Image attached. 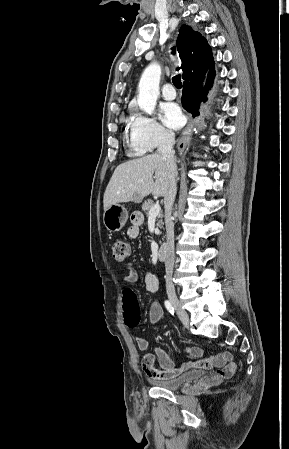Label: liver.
<instances>
[{
  "instance_id": "liver-1",
  "label": "liver",
  "mask_w": 289,
  "mask_h": 449,
  "mask_svg": "<svg viewBox=\"0 0 289 449\" xmlns=\"http://www.w3.org/2000/svg\"><path fill=\"white\" fill-rule=\"evenodd\" d=\"M169 188V168L160 153L120 164L104 193V211L117 203H140L144 197H163Z\"/></svg>"
}]
</instances>
